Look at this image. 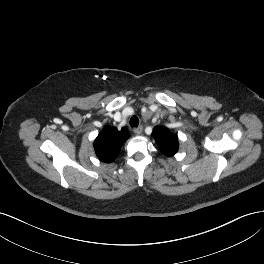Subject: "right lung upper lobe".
<instances>
[{"instance_id":"1","label":"right lung upper lobe","mask_w":264,"mask_h":264,"mask_svg":"<svg viewBox=\"0 0 264 264\" xmlns=\"http://www.w3.org/2000/svg\"><path fill=\"white\" fill-rule=\"evenodd\" d=\"M129 138L127 128L120 131L115 127L105 126L94 141L97 157L105 163H111L118 156L123 142Z\"/></svg>"}]
</instances>
